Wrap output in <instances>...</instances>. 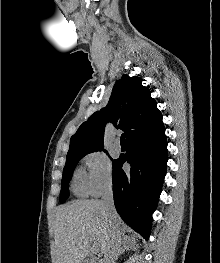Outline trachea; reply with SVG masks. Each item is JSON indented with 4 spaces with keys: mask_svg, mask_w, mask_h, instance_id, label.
I'll use <instances>...</instances> for the list:
<instances>
[{
    "mask_svg": "<svg viewBox=\"0 0 220 263\" xmlns=\"http://www.w3.org/2000/svg\"><path fill=\"white\" fill-rule=\"evenodd\" d=\"M121 142L125 143V134L124 133L121 135Z\"/></svg>",
    "mask_w": 220,
    "mask_h": 263,
    "instance_id": "1",
    "label": "trachea"
}]
</instances>
